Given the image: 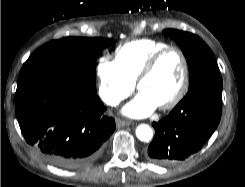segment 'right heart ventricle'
<instances>
[{"label":"right heart ventricle","instance_id":"1","mask_svg":"<svg viewBox=\"0 0 245 187\" xmlns=\"http://www.w3.org/2000/svg\"><path fill=\"white\" fill-rule=\"evenodd\" d=\"M169 46L157 39H137L119 45L115 50V62L127 80L135 84L136 79L148 61L158 50Z\"/></svg>","mask_w":245,"mask_h":187}]
</instances>
